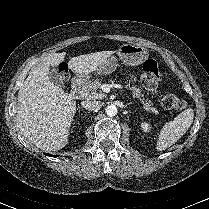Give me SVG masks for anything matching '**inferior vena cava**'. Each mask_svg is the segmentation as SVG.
Wrapping results in <instances>:
<instances>
[{"label":"inferior vena cava","mask_w":209,"mask_h":209,"mask_svg":"<svg viewBox=\"0 0 209 209\" xmlns=\"http://www.w3.org/2000/svg\"><path fill=\"white\" fill-rule=\"evenodd\" d=\"M82 106L86 110L98 111L101 108V103L98 101H83Z\"/></svg>","instance_id":"602c4592"}]
</instances>
